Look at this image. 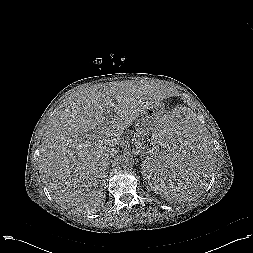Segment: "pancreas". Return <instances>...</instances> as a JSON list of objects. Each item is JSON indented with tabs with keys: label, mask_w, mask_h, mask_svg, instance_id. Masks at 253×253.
I'll list each match as a JSON object with an SVG mask.
<instances>
[{
	"label": "pancreas",
	"mask_w": 253,
	"mask_h": 253,
	"mask_svg": "<svg viewBox=\"0 0 253 253\" xmlns=\"http://www.w3.org/2000/svg\"><path fill=\"white\" fill-rule=\"evenodd\" d=\"M148 129L149 128L146 127L144 124L141 125V126H139L137 128V134H138V142H139V144H142V141L147 137Z\"/></svg>",
	"instance_id": "1"
}]
</instances>
